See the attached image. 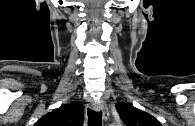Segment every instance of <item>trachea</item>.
<instances>
[{
	"mask_svg": "<svg viewBox=\"0 0 195 126\" xmlns=\"http://www.w3.org/2000/svg\"><path fill=\"white\" fill-rule=\"evenodd\" d=\"M88 126H102V113L88 109Z\"/></svg>",
	"mask_w": 195,
	"mask_h": 126,
	"instance_id": "1",
	"label": "trachea"
}]
</instances>
